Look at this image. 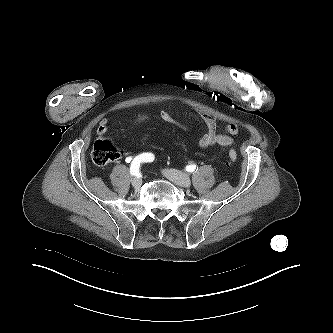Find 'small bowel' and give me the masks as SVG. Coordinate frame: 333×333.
Here are the masks:
<instances>
[{"instance_id": "c3829d8e", "label": "small bowel", "mask_w": 333, "mask_h": 333, "mask_svg": "<svg viewBox=\"0 0 333 333\" xmlns=\"http://www.w3.org/2000/svg\"><path fill=\"white\" fill-rule=\"evenodd\" d=\"M160 118L172 126L180 129L185 133L190 132V127L180 122L167 110H160ZM199 115L206 126V132L202 135L199 140V147L207 149L215 145H219L223 150L229 149L233 144V137L237 136L240 132L238 125L228 124L224 128V133L218 132V124L214 117L207 113L199 112ZM109 119L103 118L97 128V135L99 137L104 136L108 131Z\"/></svg>"}]
</instances>
